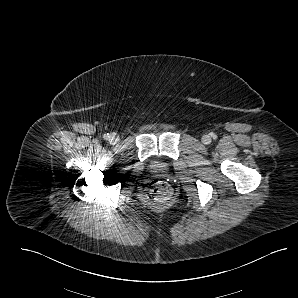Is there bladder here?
Segmentation results:
<instances>
[{
  "label": "bladder",
  "mask_w": 298,
  "mask_h": 298,
  "mask_svg": "<svg viewBox=\"0 0 298 298\" xmlns=\"http://www.w3.org/2000/svg\"><path fill=\"white\" fill-rule=\"evenodd\" d=\"M168 169H169L168 165L165 162L160 160H154L150 164V170L153 173L164 174L168 171Z\"/></svg>",
  "instance_id": "obj_1"
}]
</instances>
